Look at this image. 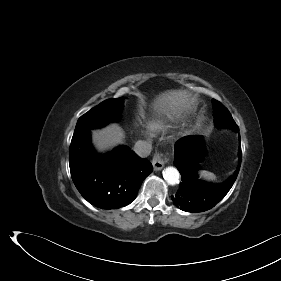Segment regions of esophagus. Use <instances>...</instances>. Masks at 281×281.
Instances as JSON below:
<instances>
[{"label": "esophagus", "mask_w": 281, "mask_h": 281, "mask_svg": "<svg viewBox=\"0 0 281 281\" xmlns=\"http://www.w3.org/2000/svg\"><path fill=\"white\" fill-rule=\"evenodd\" d=\"M167 162L166 158H163L162 154H155L152 159V165L155 171L161 170L165 163Z\"/></svg>", "instance_id": "34e87169"}]
</instances>
